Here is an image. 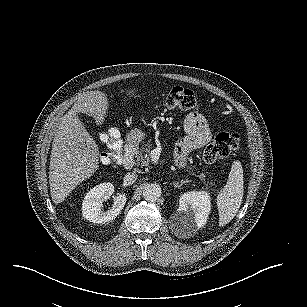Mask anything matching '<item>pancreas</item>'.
<instances>
[{"label":"pancreas","instance_id":"pancreas-1","mask_svg":"<svg viewBox=\"0 0 307 307\" xmlns=\"http://www.w3.org/2000/svg\"><path fill=\"white\" fill-rule=\"evenodd\" d=\"M151 141L149 140L147 143L143 144L138 150L135 151V158L136 164L141 167H151V160H150V152L152 149ZM205 174L201 173L198 175V178L203 181V183L208 186H214L215 182H207L205 179Z\"/></svg>","mask_w":307,"mask_h":307}]
</instances>
